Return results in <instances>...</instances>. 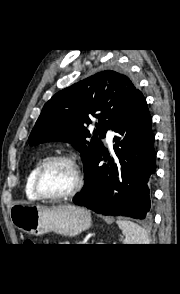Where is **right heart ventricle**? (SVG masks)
Segmentation results:
<instances>
[{
	"label": "right heart ventricle",
	"instance_id": "e07e8e85",
	"mask_svg": "<svg viewBox=\"0 0 180 294\" xmlns=\"http://www.w3.org/2000/svg\"><path fill=\"white\" fill-rule=\"evenodd\" d=\"M45 159L40 160L37 162L33 168L30 170L28 173L26 180H25V185H24V191L27 196L37 198V195L34 191L33 183H34V176L37 171V169L41 166V164L44 162Z\"/></svg>",
	"mask_w": 180,
	"mask_h": 294
}]
</instances>
